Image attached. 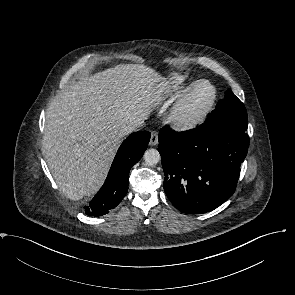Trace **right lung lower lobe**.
<instances>
[{
    "instance_id": "98d812e1",
    "label": "right lung lower lobe",
    "mask_w": 295,
    "mask_h": 295,
    "mask_svg": "<svg viewBox=\"0 0 295 295\" xmlns=\"http://www.w3.org/2000/svg\"><path fill=\"white\" fill-rule=\"evenodd\" d=\"M149 140L148 131L135 132L124 140L103 186L90 204L84 207L87 215L95 217L105 215L122 201L128 191L130 169L143 156Z\"/></svg>"
}]
</instances>
